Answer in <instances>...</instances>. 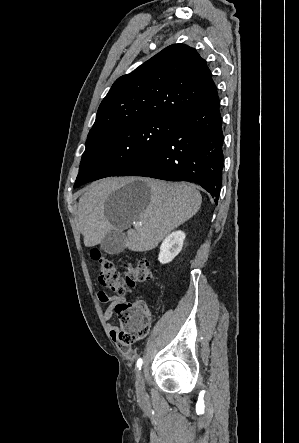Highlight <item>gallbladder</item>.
I'll return each instance as SVG.
<instances>
[{"label":"gallbladder","instance_id":"1","mask_svg":"<svg viewBox=\"0 0 299 443\" xmlns=\"http://www.w3.org/2000/svg\"><path fill=\"white\" fill-rule=\"evenodd\" d=\"M126 238L127 236L122 231L109 232L101 242L100 247L110 255L119 254L125 249Z\"/></svg>","mask_w":299,"mask_h":443}]
</instances>
